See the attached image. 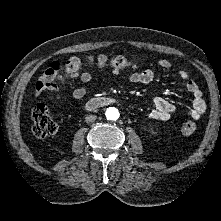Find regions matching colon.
Here are the masks:
<instances>
[{
  "label": "colon",
  "mask_w": 221,
  "mask_h": 221,
  "mask_svg": "<svg viewBox=\"0 0 221 221\" xmlns=\"http://www.w3.org/2000/svg\"><path fill=\"white\" fill-rule=\"evenodd\" d=\"M87 63L92 66H110L112 69L122 70L134 66L135 63L123 56L107 58L106 56L89 57ZM83 65V60L78 57H72L65 63L54 61L44 71L37 83V89L41 92H54L55 82L61 78L63 72H78ZM32 131L38 138L53 135L57 130V123L52 118L48 108L43 105H37L32 111ZM179 132L184 136H192L195 133L196 125L191 119H184L178 124Z\"/></svg>",
  "instance_id": "colon-1"
}]
</instances>
